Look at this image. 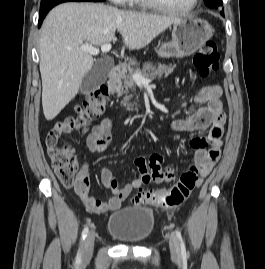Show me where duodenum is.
Listing matches in <instances>:
<instances>
[{
    "instance_id": "410a0bca",
    "label": "duodenum",
    "mask_w": 265,
    "mask_h": 269,
    "mask_svg": "<svg viewBox=\"0 0 265 269\" xmlns=\"http://www.w3.org/2000/svg\"><path fill=\"white\" fill-rule=\"evenodd\" d=\"M122 76V68L120 65H115L109 72L108 86L112 89L116 86Z\"/></svg>"
}]
</instances>
